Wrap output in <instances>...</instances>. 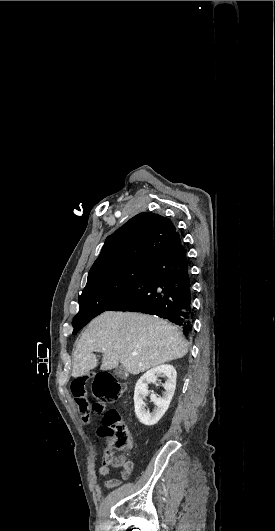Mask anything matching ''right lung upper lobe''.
Listing matches in <instances>:
<instances>
[{"mask_svg":"<svg viewBox=\"0 0 275 531\" xmlns=\"http://www.w3.org/2000/svg\"><path fill=\"white\" fill-rule=\"evenodd\" d=\"M175 232L173 223L158 214L144 212L134 216L106 238L87 283L115 270L147 265Z\"/></svg>","mask_w":275,"mask_h":531,"instance_id":"1","label":"right lung upper lobe"}]
</instances>
